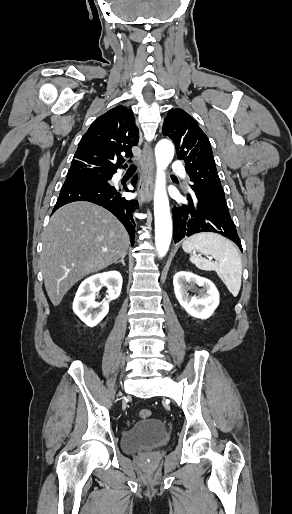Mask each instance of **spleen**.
I'll use <instances>...</instances> for the list:
<instances>
[{"mask_svg": "<svg viewBox=\"0 0 292 514\" xmlns=\"http://www.w3.org/2000/svg\"><path fill=\"white\" fill-rule=\"evenodd\" d=\"M182 248L184 252L190 254L189 260L196 268L205 272H212V270L217 272L232 296L234 298L238 296L241 288L242 260L237 248L230 240H226L220 234L201 232L187 238ZM201 256L214 258L215 262L205 260Z\"/></svg>", "mask_w": 292, "mask_h": 514, "instance_id": "obj_1", "label": "spleen"}]
</instances>
